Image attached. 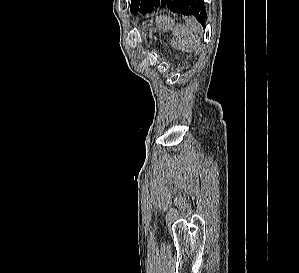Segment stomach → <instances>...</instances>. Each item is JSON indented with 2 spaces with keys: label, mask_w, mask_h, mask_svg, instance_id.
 Segmentation results:
<instances>
[{
  "label": "stomach",
  "mask_w": 299,
  "mask_h": 273,
  "mask_svg": "<svg viewBox=\"0 0 299 273\" xmlns=\"http://www.w3.org/2000/svg\"><path fill=\"white\" fill-rule=\"evenodd\" d=\"M151 29H158L160 31H169L174 28L175 22L168 16H157L153 21H150Z\"/></svg>",
  "instance_id": "obj_1"
}]
</instances>
